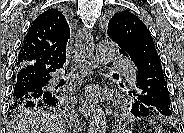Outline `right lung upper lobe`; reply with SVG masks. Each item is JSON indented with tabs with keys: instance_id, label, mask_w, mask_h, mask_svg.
<instances>
[{
	"instance_id": "cb5924a9",
	"label": "right lung upper lobe",
	"mask_w": 184,
	"mask_h": 133,
	"mask_svg": "<svg viewBox=\"0 0 184 133\" xmlns=\"http://www.w3.org/2000/svg\"><path fill=\"white\" fill-rule=\"evenodd\" d=\"M70 38V19L61 8H51L39 15L24 37L16 59L17 71L40 62L47 66L66 61V45Z\"/></svg>"
}]
</instances>
